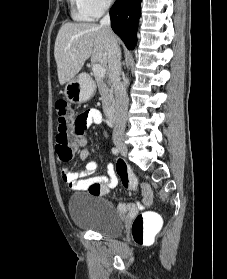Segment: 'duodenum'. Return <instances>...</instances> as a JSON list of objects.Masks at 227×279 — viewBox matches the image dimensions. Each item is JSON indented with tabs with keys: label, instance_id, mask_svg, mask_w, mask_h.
<instances>
[{
	"label": "duodenum",
	"instance_id": "410a0bca",
	"mask_svg": "<svg viewBox=\"0 0 227 279\" xmlns=\"http://www.w3.org/2000/svg\"><path fill=\"white\" fill-rule=\"evenodd\" d=\"M106 117L110 122H112V123L115 122V116H114L112 108H108L106 110Z\"/></svg>",
	"mask_w": 227,
	"mask_h": 279
}]
</instances>
